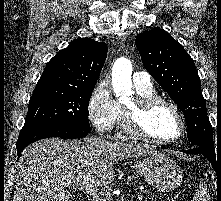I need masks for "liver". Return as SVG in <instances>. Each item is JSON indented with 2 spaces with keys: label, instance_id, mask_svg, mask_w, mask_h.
<instances>
[{
  "label": "liver",
  "instance_id": "obj_1",
  "mask_svg": "<svg viewBox=\"0 0 221 201\" xmlns=\"http://www.w3.org/2000/svg\"><path fill=\"white\" fill-rule=\"evenodd\" d=\"M154 152L149 146L101 138L35 142L23 150L17 163L13 201H73L66 187L83 182L106 187L116 176L114 162Z\"/></svg>",
  "mask_w": 221,
  "mask_h": 201
}]
</instances>
